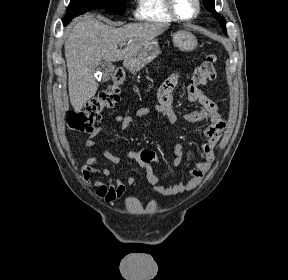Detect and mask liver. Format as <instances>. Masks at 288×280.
<instances>
[{"mask_svg": "<svg viewBox=\"0 0 288 280\" xmlns=\"http://www.w3.org/2000/svg\"><path fill=\"white\" fill-rule=\"evenodd\" d=\"M167 23H129L116 28L87 15L78 19L65 41L69 98L75 112L97 92L93 72L101 60L116 62L135 55L148 42L161 35ZM127 41V47L118 45Z\"/></svg>", "mask_w": 288, "mask_h": 280, "instance_id": "obj_1", "label": "liver"}]
</instances>
